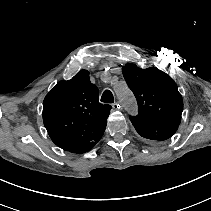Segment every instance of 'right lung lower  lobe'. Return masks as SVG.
<instances>
[{
    "label": "right lung lower lobe",
    "mask_w": 211,
    "mask_h": 211,
    "mask_svg": "<svg viewBox=\"0 0 211 211\" xmlns=\"http://www.w3.org/2000/svg\"><path fill=\"white\" fill-rule=\"evenodd\" d=\"M96 143H93V144H91V145H89L87 147L79 148V149H77L75 151H71V152H73V153H84V152H87L90 149H92L95 146Z\"/></svg>",
    "instance_id": "1"
}]
</instances>
